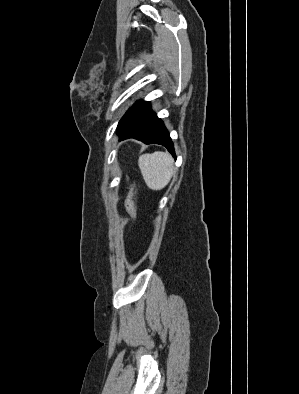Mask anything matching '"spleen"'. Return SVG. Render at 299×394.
<instances>
[{
  "mask_svg": "<svg viewBox=\"0 0 299 394\" xmlns=\"http://www.w3.org/2000/svg\"><path fill=\"white\" fill-rule=\"evenodd\" d=\"M173 158L164 152L142 154L138 165L146 185L151 190H161L168 185L174 172Z\"/></svg>",
  "mask_w": 299,
  "mask_h": 394,
  "instance_id": "1",
  "label": "spleen"
}]
</instances>
